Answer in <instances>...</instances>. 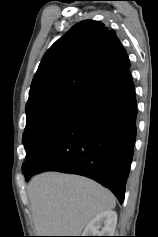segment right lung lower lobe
<instances>
[{"mask_svg": "<svg viewBox=\"0 0 158 237\" xmlns=\"http://www.w3.org/2000/svg\"><path fill=\"white\" fill-rule=\"evenodd\" d=\"M137 105L128 70L89 96L40 145L23 170L26 179L43 171L89 177L120 203L136 138Z\"/></svg>", "mask_w": 158, "mask_h": 237, "instance_id": "1", "label": "right lung lower lobe"}]
</instances>
